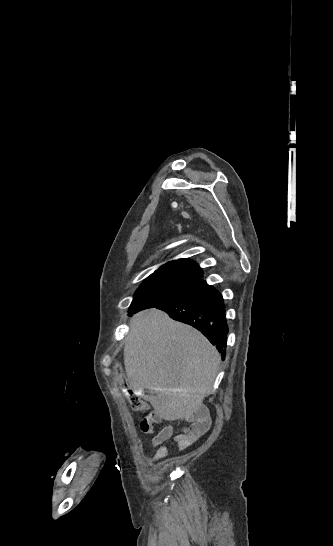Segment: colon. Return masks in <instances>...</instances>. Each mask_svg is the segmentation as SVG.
I'll return each mask as SVG.
<instances>
[{
  "mask_svg": "<svg viewBox=\"0 0 333 546\" xmlns=\"http://www.w3.org/2000/svg\"><path fill=\"white\" fill-rule=\"evenodd\" d=\"M129 401L132 408L136 411H147L149 409L148 404L139 396L131 394ZM154 415L148 414L139 418L140 429L145 433H151L153 431Z\"/></svg>",
  "mask_w": 333,
  "mask_h": 546,
  "instance_id": "5ec220e1",
  "label": "colon"
}]
</instances>
